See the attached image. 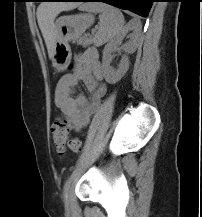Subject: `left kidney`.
<instances>
[{"instance_id":"1","label":"left kidney","mask_w":202,"mask_h":217,"mask_svg":"<svg viewBox=\"0 0 202 217\" xmlns=\"http://www.w3.org/2000/svg\"><path fill=\"white\" fill-rule=\"evenodd\" d=\"M131 30H134L136 33L139 31L138 25L131 21L129 22L123 30L116 36L115 39L111 40L103 50V57H102V68L104 72V77L107 83L115 84L117 83L127 72L129 68V59L125 55L122 57L118 69H114L110 66L112 61V53L116 50L118 45L121 44L122 39L124 36ZM136 35L132 36V40L127 42L123 45V49L126 53H133L137 47V41L134 39Z\"/></svg>"}]
</instances>
